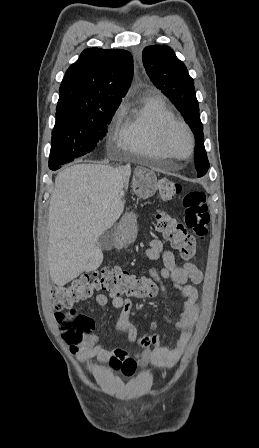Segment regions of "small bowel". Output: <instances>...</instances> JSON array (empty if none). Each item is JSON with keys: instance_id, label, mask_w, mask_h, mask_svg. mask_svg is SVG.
Returning <instances> with one entry per match:
<instances>
[{"instance_id": "obj_1", "label": "small bowel", "mask_w": 259, "mask_h": 448, "mask_svg": "<svg viewBox=\"0 0 259 448\" xmlns=\"http://www.w3.org/2000/svg\"><path fill=\"white\" fill-rule=\"evenodd\" d=\"M151 261L161 259L163 267L160 270L151 269V276L158 282L160 291L166 295V287L163 280H171L175 289L179 290L185 301L176 328L181 334L173 348H165L160 345L158 336L153 348H146L141 352L130 353L123 348H109L98 342L97 336L88 335L81 343L70 345L69 350L77 360L91 369H96L97 364L106 365L113 372H120L125 377L132 376L138 367L154 366L157 368H172L181 358L188 343L193 326L199 314L198 292L194 285L203 281L202 272L193 263L179 266L175 262L174 254L165 250L160 240L155 239L147 252ZM96 302L99 306L110 304L114 309L120 310L116 323V329L126 333L130 342L138 338L136 326L131 323L129 317L132 309V301L114 294H98ZM157 323H151V329H156ZM103 374L98 373V378L104 381Z\"/></svg>"}]
</instances>
